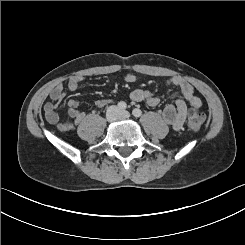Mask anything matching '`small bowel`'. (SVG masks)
Segmentation results:
<instances>
[{
    "mask_svg": "<svg viewBox=\"0 0 245 245\" xmlns=\"http://www.w3.org/2000/svg\"><path fill=\"white\" fill-rule=\"evenodd\" d=\"M83 78L80 76L71 77L67 82V88L70 91H76L82 82ZM124 80L128 83H132L136 80V77L132 74L124 76ZM167 84L178 89L183 99H176L173 103L165 106L162 112L163 120L166 124L179 130L183 127L188 111V105L193 109H198L201 106V100L194 93V89L190 83L181 77H172L167 81ZM65 90L62 85H57L50 92V101L44 106V114L46 121L56 126L60 131L66 132L74 129L80 124L85 115L79 110V103L76 100H69L68 114L70 120L62 121L56 111L59 104L65 98ZM130 98L135 102L144 101L150 107H157L160 104L159 97L155 96L149 90L135 89L131 92ZM111 101L109 99H101L95 102L97 108H103Z\"/></svg>",
    "mask_w": 245,
    "mask_h": 245,
    "instance_id": "obj_1",
    "label": "small bowel"
}]
</instances>
